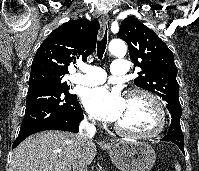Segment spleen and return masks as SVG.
Segmentation results:
<instances>
[{"mask_svg": "<svg viewBox=\"0 0 199 171\" xmlns=\"http://www.w3.org/2000/svg\"><path fill=\"white\" fill-rule=\"evenodd\" d=\"M175 169L176 171H181V167L178 163L175 164Z\"/></svg>", "mask_w": 199, "mask_h": 171, "instance_id": "3e777b00", "label": "spleen"}]
</instances>
